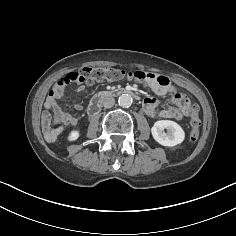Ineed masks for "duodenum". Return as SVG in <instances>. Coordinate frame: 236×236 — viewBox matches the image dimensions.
Wrapping results in <instances>:
<instances>
[{"label":"duodenum","mask_w":236,"mask_h":236,"mask_svg":"<svg viewBox=\"0 0 236 236\" xmlns=\"http://www.w3.org/2000/svg\"><path fill=\"white\" fill-rule=\"evenodd\" d=\"M124 94H129L133 96L135 99H138V95H136L131 89L129 88H117L112 90H103L97 93L94 98L92 99L91 103L88 106L87 113L89 116L95 115L101 106V103L104 99L111 97V96H120Z\"/></svg>","instance_id":"duodenum-1"}]
</instances>
